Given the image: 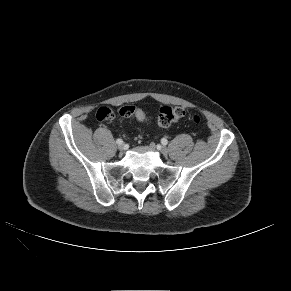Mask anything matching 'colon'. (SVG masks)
Instances as JSON below:
<instances>
[{
    "label": "colon",
    "mask_w": 291,
    "mask_h": 291,
    "mask_svg": "<svg viewBox=\"0 0 291 291\" xmlns=\"http://www.w3.org/2000/svg\"><path fill=\"white\" fill-rule=\"evenodd\" d=\"M119 115L123 117H134L137 120L143 122L147 120V116L145 112L134 105H125L122 106L118 110ZM187 114V110L181 106H164L160 109L158 117H157V124L160 127L166 128L170 126L172 123L180 120L181 118L185 117ZM97 119L100 121H108L115 117V111L109 107H101L97 111ZM194 123L198 124L201 121L200 116L195 115L193 116Z\"/></svg>",
    "instance_id": "1"
}]
</instances>
